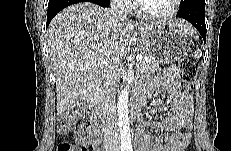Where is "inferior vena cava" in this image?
<instances>
[{
	"mask_svg": "<svg viewBox=\"0 0 231 151\" xmlns=\"http://www.w3.org/2000/svg\"><path fill=\"white\" fill-rule=\"evenodd\" d=\"M111 11L117 14L120 18L126 19V14L118 9L117 3L115 1L111 2ZM104 143L105 146H114L118 148L120 145V134L117 121V113L114 105V101L110 100L105 104V114H104Z\"/></svg>",
	"mask_w": 231,
	"mask_h": 151,
	"instance_id": "inferior-vena-cava-1",
	"label": "inferior vena cava"
}]
</instances>
